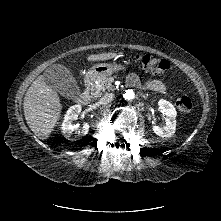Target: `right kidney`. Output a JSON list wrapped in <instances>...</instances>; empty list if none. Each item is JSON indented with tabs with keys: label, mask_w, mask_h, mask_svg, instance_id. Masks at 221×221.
Here are the masks:
<instances>
[{
	"label": "right kidney",
	"mask_w": 221,
	"mask_h": 221,
	"mask_svg": "<svg viewBox=\"0 0 221 221\" xmlns=\"http://www.w3.org/2000/svg\"><path fill=\"white\" fill-rule=\"evenodd\" d=\"M81 106L80 105H74L71 106L65 116H64V120L62 123V129L64 131L65 137L68 140H76V139H80L82 136H85L88 133V125L84 126V130L82 132H78V134L75 136V138H71V130L73 129L72 126V121L73 120H77L78 119V115L81 112Z\"/></svg>",
	"instance_id": "obj_1"
}]
</instances>
